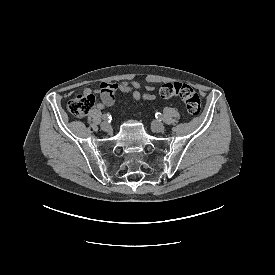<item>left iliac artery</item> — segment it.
Returning a JSON list of instances; mask_svg holds the SVG:
<instances>
[{
  "label": "left iliac artery",
  "mask_w": 275,
  "mask_h": 275,
  "mask_svg": "<svg viewBox=\"0 0 275 275\" xmlns=\"http://www.w3.org/2000/svg\"><path fill=\"white\" fill-rule=\"evenodd\" d=\"M155 117H156L158 120H160V121L163 119V116H162L161 113H156V114H155Z\"/></svg>",
  "instance_id": "obj_1"
}]
</instances>
